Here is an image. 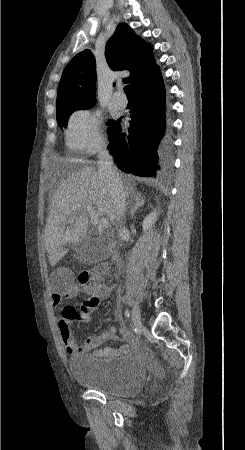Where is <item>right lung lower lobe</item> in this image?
I'll return each instance as SVG.
<instances>
[{"mask_svg":"<svg viewBox=\"0 0 245 450\" xmlns=\"http://www.w3.org/2000/svg\"><path fill=\"white\" fill-rule=\"evenodd\" d=\"M131 91L134 107L129 134L121 133L119 124L114 125L108 148L122 171L161 176L171 168L172 147L166 130L165 87L159 67Z\"/></svg>","mask_w":245,"mask_h":450,"instance_id":"98d812e1","label":"right lung lower lobe"}]
</instances>
